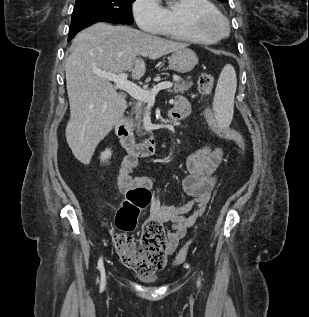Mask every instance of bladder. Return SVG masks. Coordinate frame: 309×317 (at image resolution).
<instances>
[{
	"label": "bladder",
	"instance_id": "31cf9c89",
	"mask_svg": "<svg viewBox=\"0 0 309 317\" xmlns=\"http://www.w3.org/2000/svg\"><path fill=\"white\" fill-rule=\"evenodd\" d=\"M141 280L144 282L152 283L157 280L155 276H150V277H141Z\"/></svg>",
	"mask_w": 309,
	"mask_h": 317
}]
</instances>
